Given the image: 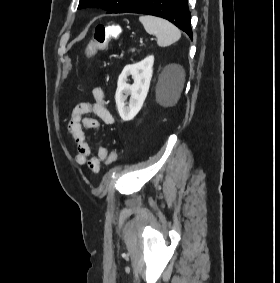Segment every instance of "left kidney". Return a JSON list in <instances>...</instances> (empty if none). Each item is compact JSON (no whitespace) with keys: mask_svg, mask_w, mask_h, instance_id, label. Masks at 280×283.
<instances>
[{"mask_svg":"<svg viewBox=\"0 0 280 283\" xmlns=\"http://www.w3.org/2000/svg\"><path fill=\"white\" fill-rule=\"evenodd\" d=\"M154 56H148L144 60L127 65L118 78L115 101L120 117L123 121L132 120L141 110L147 97L150 81L153 74ZM132 76L134 83H127L128 76ZM131 95L128 106L125 101Z\"/></svg>","mask_w":280,"mask_h":283,"instance_id":"5707ae66","label":"left kidney"}]
</instances>
